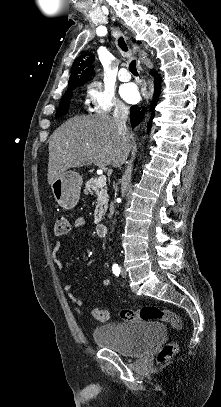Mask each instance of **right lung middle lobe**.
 <instances>
[{"label": "right lung middle lobe", "mask_w": 221, "mask_h": 407, "mask_svg": "<svg viewBox=\"0 0 221 407\" xmlns=\"http://www.w3.org/2000/svg\"><path fill=\"white\" fill-rule=\"evenodd\" d=\"M73 90L74 89H71V90H67L65 92V95L62 97V99L59 103V108L56 112V118H58L60 116H64L67 113L69 104H70V99L73 96V93H72Z\"/></svg>", "instance_id": "dd1d6c3e"}]
</instances>
